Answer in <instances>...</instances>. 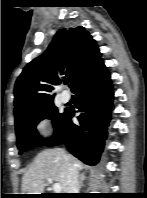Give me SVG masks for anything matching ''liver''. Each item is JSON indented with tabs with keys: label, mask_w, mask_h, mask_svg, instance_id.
<instances>
[{
	"label": "liver",
	"mask_w": 147,
	"mask_h": 198,
	"mask_svg": "<svg viewBox=\"0 0 147 198\" xmlns=\"http://www.w3.org/2000/svg\"><path fill=\"white\" fill-rule=\"evenodd\" d=\"M72 163L77 171L82 170V163L61 149H46L40 152L22 177V194H42L48 178L58 182L63 193H67V162Z\"/></svg>",
	"instance_id": "liver-1"
}]
</instances>
